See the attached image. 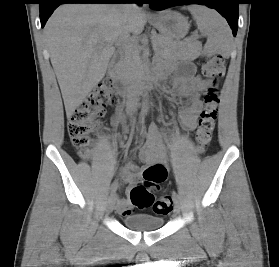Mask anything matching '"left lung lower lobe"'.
Masks as SVG:
<instances>
[{"instance_id":"0a47b994","label":"left lung lower lobe","mask_w":279,"mask_h":267,"mask_svg":"<svg viewBox=\"0 0 279 267\" xmlns=\"http://www.w3.org/2000/svg\"><path fill=\"white\" fill-rule=\"evenodd\" d=\"M150 7L156 10L182 5L204 4L219 11L230 25L233 35L236 36L238 28V4L239 0H149Z\"/></svg>"}]
</instances>
